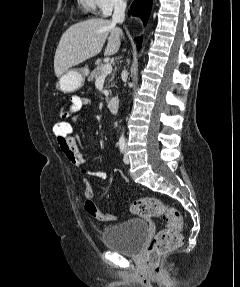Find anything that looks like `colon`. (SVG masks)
Instances as JSON below:
<instances>
[{"label": "colon", "mask_w": 240, "mask_h": 287, "mask_svg": "<svg viewBox=\"0 0 240 287\" xmlns=\"http://www.w3.org/2000/svg\"><path fill=\"white\" fill-rule=\"evenodd\" d=\"M72 128L68 120L60 118L53 124V133L57 140L65 142L70 138ZM82 184L86 197L85 211L100 222L115 221L117 216L104 214L99 210L94 201L93 189L85 178ZM130 212L141 217H161L165 222L164 228L157 232L150 242L145 255L146 263L158 270L161 259L182 244L183 218L178 210L153 197L140 198L131 202Z\"/></svg>", "instance_id": "obj_1"}]
</instances>
